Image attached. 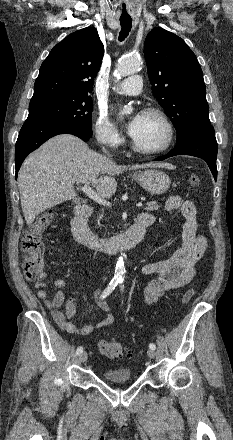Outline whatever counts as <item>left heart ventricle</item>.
Here are the masks:
<instances>
[{"mask_svg": "<svg viewBox=\"0 0 233 440\" xmlns=\"http://www.w3.org/2000/svg\"><path fill=\"white\" fill-rule=\"evenodd\" d=\"M132 138L143 148L155 149L165 143L167 129L159 117L141 114L140 123Z\"/></svg>", "mask_w": 233, "mask_h": 440, "instance_id": "1", "label": "left heart ventricle"}]
</instances>
